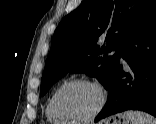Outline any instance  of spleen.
Returning <instances> with one entry per match:
<instances>
[{"instance_id": "obj_1", "label": "spleen", "mask_w": 156, "mask_h": 124, "mask_svg": "<svg viewBox=\"0 0 156 124\" xmlns=\"http://www.w3.org/2000/svg\"><path fill=\"white\" fill-rule=\"evenodd\" d=\"M123 117L130 124H156V119L140 111H126Z\"/></svg>"}]
</instances>
